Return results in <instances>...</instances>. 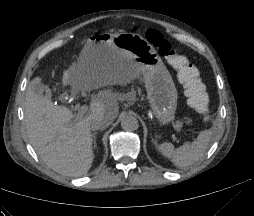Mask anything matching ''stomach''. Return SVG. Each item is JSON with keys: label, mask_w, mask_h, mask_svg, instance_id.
Here are the masks:
<instances>
[{"label": "stomach", "mask_w": 254, "mask_h": 216, "mask_svg": "<svg viewBox=\"0 0 254 216\" xmlns=\"http://www.w3.org/2000/svg\"><path fill=\"white\" fill-rule=\"evenodd\" d=\"M117 52L123 53L143 76L147 98L158 122L168 125L174 121L178 101L176 86L155 48L142 36L123 33L93 37L77 65H106Z\"/></svg>", "instance_id": "obj_1"}]
</instances>
